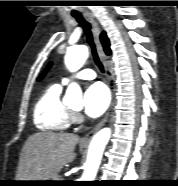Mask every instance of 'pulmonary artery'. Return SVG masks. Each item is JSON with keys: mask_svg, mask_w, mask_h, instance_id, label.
<instances>
[{"mask_svg": "<svg viewBox=\"0 0 178 186\" xmlns=\"http://www.w3.org/2000/svg\"><path fill=\"white\" fill-rule=\"evenodd\" d=\"M96 77V73L92 69H83L78 72L76 75L71 77H66L63 79V84H68L73 79H84V80H92Z\"/></svg>", "mask_w": 178, "mask_h": 186, "instance_id": "obj_1", "label": "pulmonary artery"}]
</instances>
